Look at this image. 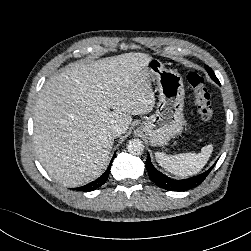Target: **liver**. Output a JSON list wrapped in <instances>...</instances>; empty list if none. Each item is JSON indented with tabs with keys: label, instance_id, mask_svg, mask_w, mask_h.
I'll use <instances>...</instances> for the list:
<instances>
[{
	"label": "liver",
	"instance_id": "obj_1",
	"mask_svg": "<svg viewBox=\"0 0 251 251\" xmlns=\"http://www.w3.org/2000/svg\"><path fill=\"white\" fill-rule=\"evenodd\" d=\"M151 58L131 52L73 63L45 83L34 110V145L55 180L77 187L99 177L114 145L111 127L125 133L131 115L153 110L146 69Z\"/></svg>",
	"mask_w": 251,
	"mask_h": 251
}]
</instances>
